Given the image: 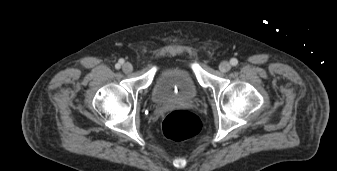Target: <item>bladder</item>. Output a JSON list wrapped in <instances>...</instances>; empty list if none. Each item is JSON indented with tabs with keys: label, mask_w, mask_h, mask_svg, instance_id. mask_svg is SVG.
I'll use <instances>...</instances> for the list:
<instances>
[{
	"label": "bladder",
	"mask_w": 337,
	"mask_h": 171,
	"mask_svg": "<svg viewBox=\"0 0 337 171\" xmlns=\"http://www.w3.org/2000/svg\"><path fill=\"white\" fill-rule=\"evenodd\" d=\"M198 94L199 89L192 73L183 66L161 68L152 89V99L156 104L191 101Z\"/></svg>",
	"instance_id": "obj_1"
}]
</instances>
